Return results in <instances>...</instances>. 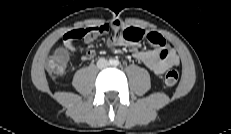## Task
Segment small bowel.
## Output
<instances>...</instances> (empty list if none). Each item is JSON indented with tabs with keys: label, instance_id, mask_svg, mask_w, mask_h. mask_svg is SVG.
I'll return each mask as SVG.
<instances>
[{
	"label": "small bowel",
	"instance_id": "small-bowel-1",
	"mask_svg": "<svg viewBox=\"0 0 231 134\" xmlns=\"http://www.w3.org/2000/svg\"><path fill=\"white\" fill-rule=\"evenodd\" d=\"M112 31V35L107 39L108 47H119L125 45H136L145 38L153 50H135L133 57L142 62L154 74H163L167 69L179 65V56L175 49L170 46L165 38L156 32H145L138 27H124L119 21L103 24L97 27L86 29H74L63 36V43L69 50H75L74 41L82 38L86 45L91 44L99 35ZM95 56L92 50L82 54L81 59L87 61Z\"/></svg>",
	"mask_w": 231,
	"mask_h": 134
}]
</instances>
